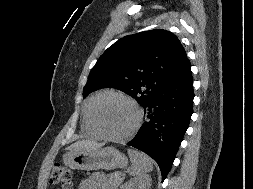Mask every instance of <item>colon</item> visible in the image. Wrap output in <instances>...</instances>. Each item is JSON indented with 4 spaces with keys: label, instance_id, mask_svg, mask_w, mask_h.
<instances>
[{
    "label": "colon",
    "instance_id": "1",
    "mask_svg": "<svg viewBox=\"0 0 253 189\" xmlns=\"http://www.w3.org/2000/svg\"><path fill=\"white\" fill-rule=\"evenodd\" d=\"M51 183L60 184L63 189H72L71 171L62 164H55L50 177Z\"/></svg>",
    "mask_w": 253,
    "mask_h": 189
}]
</instances>
